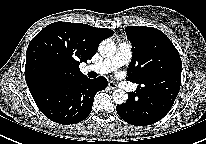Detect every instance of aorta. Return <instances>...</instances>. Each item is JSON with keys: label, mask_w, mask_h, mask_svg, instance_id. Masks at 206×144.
Here are the masks:
<instances>
[{"label": "aorta", "mask_w": 206, "mask_h": 144, "mask_svg": "<svg viewBox=\"0 0 206 144\" xmlns=\"http://www.w3.org/2000/svg\"><path fill=\"white\" fill-rule=\"evenodd\" d=\"M116 49V44L111 39L103 40L98 47V51L103 57L113 56L116 53ZM112 97L116 104H123L127 101L128 94L122 89H117L114 90Z\"/></svg>", "instance_id": "762f6f07"}]
</instances>
